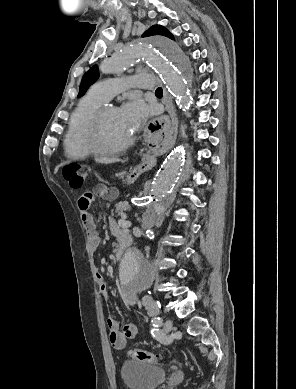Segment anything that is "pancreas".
<instances>
[{"instance_id":"1","label":"pancreas","mask_w":296,"mask_h":389,"mask_svg":"<svg viewBox=\"0 0 296 389\" xmlns=\"http://www.w3.org/2000/svg\"><path fill=\"white\" fill-rule=\"evenodd\" d=\"M130 208L131 206L126 201L115 204V212L118 214V216H121L122 218H125V212L130 210Z\"/></svg>"}]
</instances>
